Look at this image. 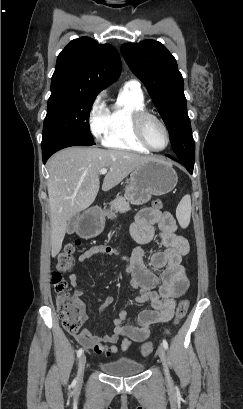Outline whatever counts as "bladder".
I'll list each match as a JSON object with an SVG mask.
<instances>
[{
  "label": "bladder",
  "mask_w": 243,
  "mask_h": 409,
  "mask_svg": "<svg viewBox=\"0 0 243 409\" xmlns=\"http://www.w3.org/2000/svg\"><path fill=\"white\" fill-rule=\"evenodd\" d=\"M106 375L114 377H127L143 372L144 365L132 359H116L100 365Z\"/></svg>",
  "instance_id": "bladder-1"
}]
</instances>
